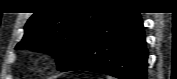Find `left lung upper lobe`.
Here are the masks:
<instances>
[{
    "instance_id": "obj_1",
    "label": "left lung upper lobe",
    "mask_w": 177,
    "mask_h": 79,
    "mask_svg": "<svg viewBox=\"0 0 177 79\" xmlns=\"http://www.w3.org/2000/svg\"><path fill=\"white\" fill-rule=\"evenodd\" d=\"M106 11H46L34 13L25 26V35L16 49L28 48L51 54L61 70L77 53L88 34Z\"/></svg>"
}]
</instances>
